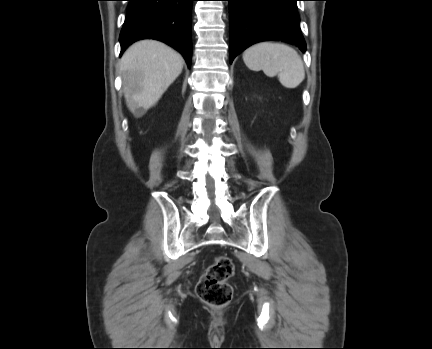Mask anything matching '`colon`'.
<instances>
[{"label":"colon","mask_w":432,"mask_h":349,"mask_svg":"<svg viewBox=\"0 0 432 349\" xmlns=\"http://www.w3.org/2000/svg\"><path fill=\"white\" fill-rule=\"evenodd\" d=\"M233 274L232 260L227 256H217L197 284L198 297L215 308L226 306L233 296V288L228 282Z\"/></svg>","instance_id":"colon-1"}]
</instances>
